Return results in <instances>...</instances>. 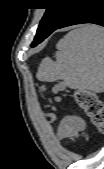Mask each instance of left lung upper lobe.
Here are the masks:
<instances>
[{"instance_id":"1","label":"left lung upper lobe","mask_w":104,"mask_h":169,"mask_svg":"<svg viewBox=\"0 0 104 169\" xmlns=\"http://www.w3.org/2000/svg\"><path fill=\"white\" fill-rule=\"evenodd\" d=\"M51 6L46 8V12L39 24L38 30L43 33L52 32L59 23L74 8L77 0H47ZM37 33V32H36Z\"/></svg>"}]
</instances>
